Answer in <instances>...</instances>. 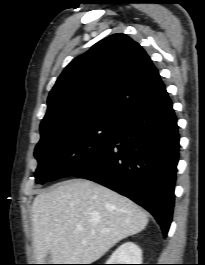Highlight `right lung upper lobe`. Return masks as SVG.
<instances>
[{
	"instance_id": "1",
	"label": "right lung upper lobe",
	"mask_w": 205,
	"mask_h": 265,
	"mask_svg": "<svg viewBox=\"0 0 205 265\" xmlns=\"http://www.w3.org/2000/svg\"><path fill=\"white\" fill-rule=\"evenodd\" d=\"M145 50L124 34H113L70 62L48 97L40 131L62 133L96 122L118 123L164 92Z\"/></svg>"
}]
</instances>
